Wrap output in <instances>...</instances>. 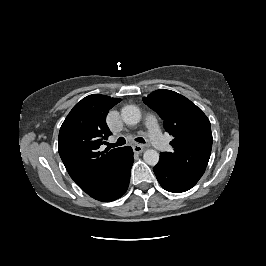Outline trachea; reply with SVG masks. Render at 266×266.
Returning a JSON list of instances; mask_svg holds the SVG:
<instances>
[{
  "label": "trachea",
  "instance_id": "3493384b",
  "mask_svg": "<svg viewBox=\"0 0 266 266\" xmlns=\"http://www.w3.org/2000/svg\"><path fill=\"white\" fill-rule=\"evenodd\" d=\"M135 141L139 143H145V140L142 137L136 138ZM125 143H126V140L123 137H120L118 138L116 143H107L106 145L108 146V148H114V147L122 146Z\"/></svg>",
  "mask_w": 266,
  "mask_h": 266
}]
</instances>
